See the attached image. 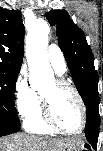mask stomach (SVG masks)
Here are the masks:
<instances>
[{
    "label": "stomach",
    "mask_w": 103,
    "mask_h": 151,
    "mask_svg": "<svg viewBox=\"0 0 103 151\" xmlns=\"http://www.w3.org/2000/svg\"><path fill=\"white\" fill-rule=\"evenodd\" d=\"M85 150V145L82 141L74 142L70 145L60 148L59 151H83Z\"/></svg>",
    "instance_id": "stomach-1"
}]
</instances>
